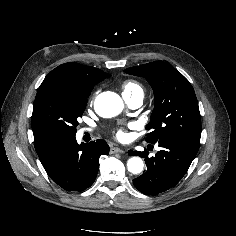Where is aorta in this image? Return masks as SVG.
I'll return each mask as SVG.
<instances>
[{
	"instance_id": "obj_1",
	"label": "aorta",
	"mask_w": 236,
	"mask_h": 236,
	"mask_svg": "<svg viewBox=\"0 0 236 236\" xmlns=\"http://www.w3.org/2000/svg\"><path fill=\"white\" fill-rule=\"evenodd\" d=\"M94 108L100 116L111 118L121 113L124 104L118 94L107 91L96 97ZM127 168L133 174L141 173L144 168L143 160L140 157H132L127 162Z\"/></svg>"
}]
</instances>
